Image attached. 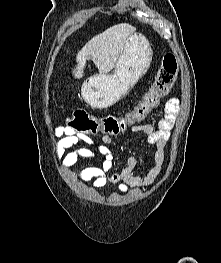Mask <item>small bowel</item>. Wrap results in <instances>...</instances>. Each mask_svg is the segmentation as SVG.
Here are the masks:
<instances>
[{"label":"small bowel","instance_id":"obj_1","mask_svg":"<svg viewBox=\"0 0 221 263\" xmlns=\"http://www.w3.org/2000/svg\"><path fill=\"white\" fill-rule=\"evenodd\" d=\"M179 103L178 98H171L165 105L164 118L156 124H135L130 127L132 133L142 134L148 145L156 147L155 165L144 178L134 173L138 165V159L134 155H128L126 167L121 172L108 174L114 160L111 147L116 146V142L108 135H104L100 142H96L86 135L74 133L67 127H58L53 131L54 136L59 138L56 153L63 155L66 149L76 147L64 155L62 163L65 167L76 164L80 158H99L100 166H89L76 174L77 179L90 181L92 189H100L112 183L117 185L121 193H128L130 188L139 189L149 186L162 170L165 159L164 149L178 115Z\"/></svg>","mask_w":221,"mask_h":263}]
</instances>
